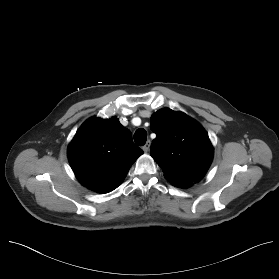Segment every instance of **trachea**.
Here are the masks:
<instances>
[{
	"label": "trachea",
	"instance_id": "3493384b",
	"mask_svg": "<svg viewBox=\"0 0 279 279\" xmlns=\"http://www.w3.org/2000/svg\"><path fill=\"white\" fill-rule=\"evenodd\" d=\"M147 140V132L145 129L140 128L134 134V141L137 145L143 146Z\"/></svg>",
	"mask_w": 279,
	"mask_h": 279
}]
</instances>
